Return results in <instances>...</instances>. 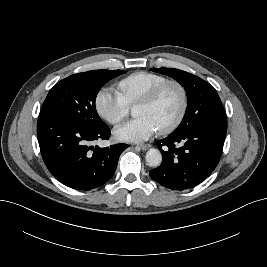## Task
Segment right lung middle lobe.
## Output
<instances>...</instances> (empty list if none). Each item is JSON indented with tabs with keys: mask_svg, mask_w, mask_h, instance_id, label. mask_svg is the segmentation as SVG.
I'll return each mask as SVG.
<instances>
[{
	"mask_svg": "<svg viewBox=\"0 0 267 267\" xmlns=\"http://www.w3.org/2000/svg\"><path fill=\"white\" fill-rule=\"evenodd\" d=\"M124 73L122 70H93L71 75L49 91L42 109L60 113L88 128L105 127L96 111V96L106 82Z\"/></svg>",
	"mask_w": 267,
	"mask_h": 267,
	"instance_id": "right-lung-middle-lobe-1",
	"label": "right lung middle lobe"
}]
</instances>
